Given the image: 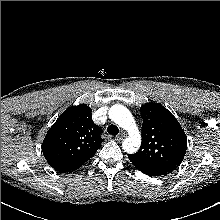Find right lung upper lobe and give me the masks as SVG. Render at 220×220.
<instances>
[{
    "mask_svg": "<svg viewBox=\"0 0 220 220\" xmlns=\"http://www.w3.org/2000/svg\"><path fill=\"white\" fill-rule=\"evenodd\" d=\"M91 112L85 104L69 107L46 134L42 151L56 171L64 173L78 169L100 147L103 130L93 123Z\"/></svg>",
    "mask_w": 220,
    "mask_h": 220,
    "instance_id": "1",
    "label": "right lung upper lobe"
}]
</instances>
